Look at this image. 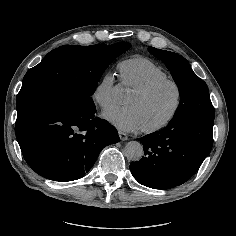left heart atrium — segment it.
Listing matches in <instances>:
<instances>
[{"mask_svg": "<svg viewBox=\"0 0 236 236\" xmlns=\"http://www.w3.org/2000/svg\"><path fill=\"white\" fill-rule=\"evenodd\" d=\"M106 120L123 131H133L142 128L141 120L134 107H116L104 114Z\"/></svg>", "mask_w": 236, "mask_h": 236, "instance_id": "1", "label": "left heart atrium"}]
</instances>
